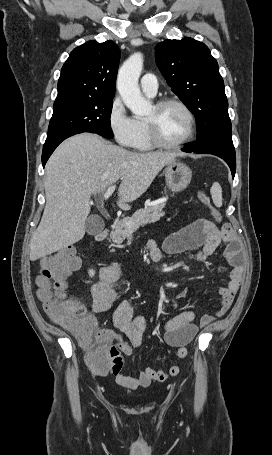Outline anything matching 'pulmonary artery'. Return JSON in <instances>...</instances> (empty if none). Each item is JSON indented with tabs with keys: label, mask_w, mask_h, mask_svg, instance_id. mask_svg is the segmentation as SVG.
<instances>
[{
	"label": "pulmonary artery",
	"mask_w": 272,
	"mask_h": 455,
	"mask_svg": "<svg viewBox=\"0 0 272 455\" xmlns=\"http://www.w3.org/2000/svg\"><path fill=\"white\" fill-rule=\"evenodd\" d=\"M142 91L148 96H154L158 89V81L154 74L147 73L140 80Z\"/></svg>",
	"instance_id": "e3ab8cb5"
}]
</instances>
